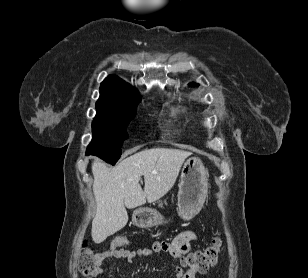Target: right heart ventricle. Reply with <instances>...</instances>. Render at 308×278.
<instances>
[{"label":"right heart ventricle","mask_w":308,"mask_h":278,"mask_svg":"<svg viewBox=\"0 0 308 278\" xmlns=\"http://www.w3.org/2000/svg\"><path fill=\"white\" fill-rule=\"evenodd\" d=\"M176 114H177L176 112H173V113H172L173 116H176Z\"/></svg>","instance_id":"obj_1"}]
</instances>
